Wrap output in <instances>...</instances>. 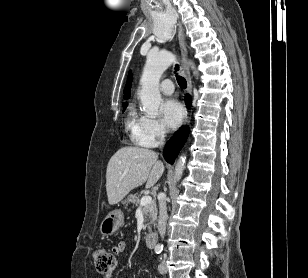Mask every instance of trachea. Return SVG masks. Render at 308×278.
Listing matches in <instances>:
<instances>
[{"label": "trachea", "instance_id": "1", "mask_svg": "<svg viewBox=\"0 0 308 278\" xmlns=\"http://www.w3.org/2000/svg\"><path fill=\"white\" fill-rule=\"evenodd\" d=\"M176 71L179 69V65H176ZM176 79H177V82L179 84V86L182 88V89H185L187 87V81L185 80V78H183L182 76L180 75H177L176 76Z\"/></svg>", "mask_w": 308, "mask_h": 278}]
</instances>
